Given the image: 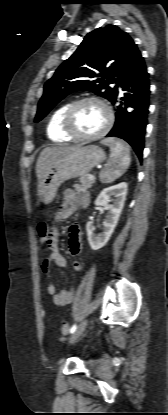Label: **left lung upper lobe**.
Masks as SVG:
<instances>
[{
    "instance_id": "obj_1",
    "label": "left lung upper lobe",
    "mask_w": 168,
    "mask_h": 415,
    "mask_svg": "<svg viewBox=\"0 0 168 415\" xmlns=\"http://www.w3.org/2000/svg\"><path fill=\"white\" fill-rule=\"evenodd\" d=\"M140 54L132 38L115 25L88 33L44 86L35 122L72 92L87 90L112 101L122 78ZM117 83L115 87L110 84Z\"/></svg>"
}]
</instances>
